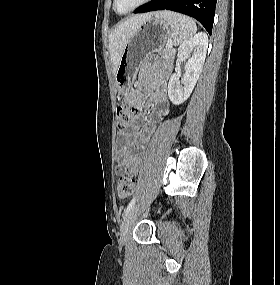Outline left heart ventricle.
I'll list each match as a JSON object with an SVG mask.
<instances>
[{
    "label": "left heart ventricle",
    "mask_w": 280,
    "mask_h": 285,
    "mask_svg": "<svg viewBox=\"0 0 280 285\" xmlns=\"http://www.w3.org/2000/svg\"><path fill=\"white\" fill-rule=\"evenodd\" d=\"M141 0H118L117 1V9L120 12H125L132 7H134Z\"/></svg>",
    "instance_id": "obj_1"
}]
</instances>
